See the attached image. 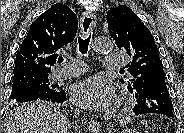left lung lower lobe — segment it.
<instances>
[{
    "label": "left lung lower lobe",
    "instance_id": "obj_1",
    "mask_svg": "<svg viewBox=\"0 0 184 133\" xmlns=\"http://www.w3.org/2000/svg\"><path fill=\"white\" fill-rule=\"evenodd\" d=\"M133 96L137 102L133 108L136 115L154 113L174 118L163 69L157 70L150 82Z\"/></svg>",
    "mask_w": 184,
    "mask_h": 133
}]
</instances>
